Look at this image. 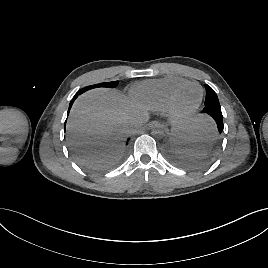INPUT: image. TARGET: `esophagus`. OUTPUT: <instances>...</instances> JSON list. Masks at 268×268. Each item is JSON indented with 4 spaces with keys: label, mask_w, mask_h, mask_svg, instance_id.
Here are the masks:
<instances>
[{
    "label": "esophagus",
    "mask_w": 268,
    "mask_h": 268,
    "mask_svg": "<svg viewBox=\"0 0 268 268\" xmlns=\"http://www.w3.org/2000/svg\"><path fill=\"white\" fill-rule=\"evenodd\" d=\"M160 126H161V123L158 121H151L148 124V127L151 129L156 128V127H160Z\"/></svg>",
    "instance_id": "esophagus-1"
}]
</instances>
